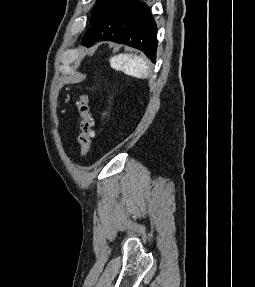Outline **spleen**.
I'll use <instances>...</instances> for the list:
<instances>
[{
	"instance_id": "obj_1",
	"label": "spleen",
	"mask_w": 255,
	"mask_h": 287,
	"mask_svg": "<svg viewBox=\"0 0 255 287\" xmlns=\"http://www.w3.org/2000/svg\"><path fill=\"white\" fill-rule=\"evenodd\" d=\"M148 62L140 58V56H133V54H119L110 58V66L114 70H123L128 76L133 78H148Z\"/></svg>"
}]
</instances>
